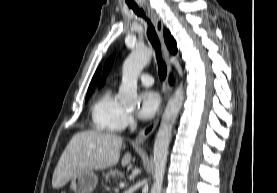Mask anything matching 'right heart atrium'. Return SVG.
Here are the masks:
<instances>
[{
    "mask_svg": "<svg viewBox=\"0 0 277 193\" xmlns=\"http://www.w3.org/2000/svg\"><path fill=\"white\" fill-rule=\"evenodd\" d=\"M133 123H134L133 115L130 112L125 111L124 118H123V126L128 127V126H131Z\"/></svg>",
    "mask_w": 277,
    "mask_h": 193,
    "instance_id": "d8ad5b80",
    "label": "right heart atrium"
}]
</instances>
